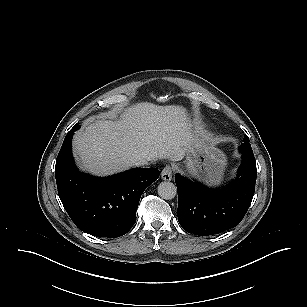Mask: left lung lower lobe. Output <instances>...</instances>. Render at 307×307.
<instances>
[{
    "label": "left lung lower lobe",
    "instance_id": "1",
    "mask_svg": "<svg viewBox=\"0 0 307 307\" xmlns=\"http://www.w3.org/2000/svg\"><path fill=\"white\" fill-rule=\"evenodd\" d=\"M243 154L238 179L221 189H210L175 175L178 190V221L199 236L219 234L236 227L246 214L257 176L254 154Z\"/></svg>",
    "mask_w": 307,
    "mask_h": 307
}]
</instances>
